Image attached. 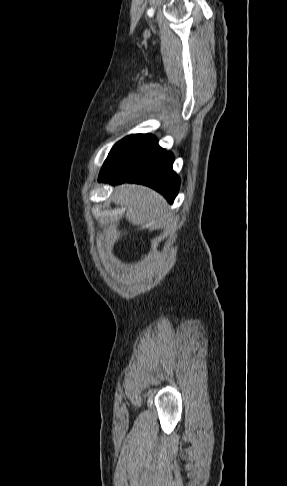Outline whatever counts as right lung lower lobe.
Wrapping results in <instances>:
<instances>
[{"instance_id":"obj_1","label":"right lung lower lobe","mask_w":287,"mask_h":486,"mask_svg":"<svg viewBox=\"0 0 287 486\" xmlns=\"http://www.w3.org/2000/svg\"><path fill=\"white\" fill-rule=\"evenodd\" d=\"M174 157L158 145L155 136L144 135L109 156L99 181L140 183L152 187L172 203L179 191V177L172 170Z\"/></svg>"}]
</instances>
